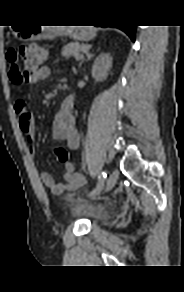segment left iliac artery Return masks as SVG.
I'll return each instance as SVG.
<instances>
[{"mask_svg":"<svg viewBox=\"0 0 184 292\" xmlns=\"http://www.w3.org/2000/svg\"><path fill=\"white\" fill-rule=\"evenodd\" d=\"M106 173L104 172V171H101L100 173H99V175H98V183H97V186H96V188L95 189H93L90 193H89V195L91 196V195H94V194H96V193H98L102 188H103V186H104V180H105V178H106Z\"/></svg>","mask_w":184,"mask_h":292,"instance_id":"obj_1","label":"left iliac artery"}]
</instances>
